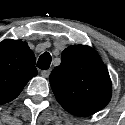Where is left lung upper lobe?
I'll use <instances>...</instances> for the list:
<instances>
[{
	"instance_id": "left-lung-upper-lobe-1",
	"label": "left lung upper lobe",
	"mask_w": 125,
	"mask_h": 125,
	"mask_svg": "<svg viewBox=\"0 0 125 125\" xmlns=\"http://www.w3.org/2000/svg\"><path fill=\"white\" fill-rule=\"evenodd\" d=\"M60 105L77 116H90L103 109L112 96L108 70L99 55L88 46H69L61 64L49 77Z\"/></svg>"
}]
</instances>
